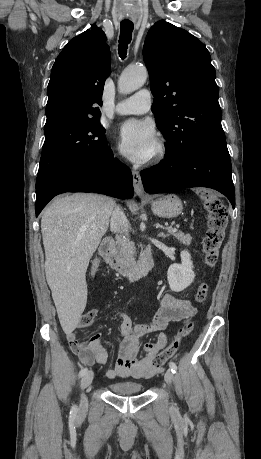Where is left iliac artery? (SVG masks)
Masks as SVG:
<instances>
[{
  "mask_svg": "<svg viewBox=\"0 0 261 459\" xmlns=\"http://www.w3.org/2000/svg\"><path fill=\"white\" fill-rule=\"evenodd\" d=\"M169 367H170V369H171V371H172L173 373H176V371H177V366H176V364H175L174 362H170V363H169Z\"/></svg>",
  "mask_w": 261,
  "mask_h": 459,
  "instance_id": "1",
  "label": "left iliac artery"
}]
</instances>
